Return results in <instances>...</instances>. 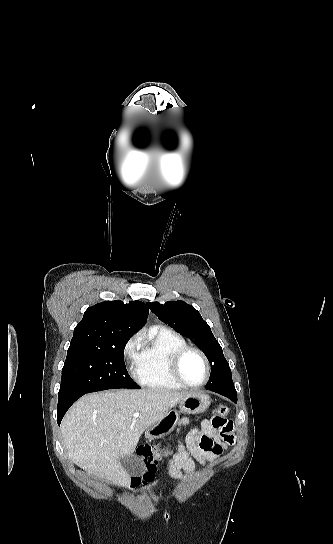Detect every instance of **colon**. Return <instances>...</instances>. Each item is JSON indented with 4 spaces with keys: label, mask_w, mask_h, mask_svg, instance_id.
<instances>
[{
    "label": "colon",
    "mask_w": 333,
    "mask_h": 544,
    "mask_svg": "<svg viewBox=\"0 0 333 544\" xmlns=\"http://www.w3.org/2000/svg\"><path fill=\"white\" fill-rule=\"evenodd\" d=\"M229 412L230 407L227 405H218L214 409V414L218 417H225ZM137 453L145 464V472L141 477L131 479L132 486L151 482L154 479L157 461L169 456L171 451L164 444H158L155 446H140L137 449Z\"/></svg>",
    "instance_id": "5ec220e1"
}]
</instances>
